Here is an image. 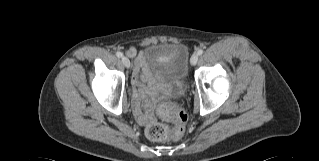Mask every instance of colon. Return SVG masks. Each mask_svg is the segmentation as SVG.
Returning a JSON list of instances; mask_svg holds the SVG:
<instances>
[{"mask_svg": "<svg viewBox=\"0 0 319 161\" xmlns=\"http://www.w3.org/2000/svg\"><path fill=\"white\" fill-rule=\"evenodd\" d=\"M158 116L164 122L154 123L147 128V137L152 141H169L180 139L187 122L186 113L175 102H167L157 109ZM167 123H172L170 127Z\"/></svg>", "mask_w": 319, "mask_h": 161, "instance_id": "5ec220e1", "label": "colon"}]
</instances>
